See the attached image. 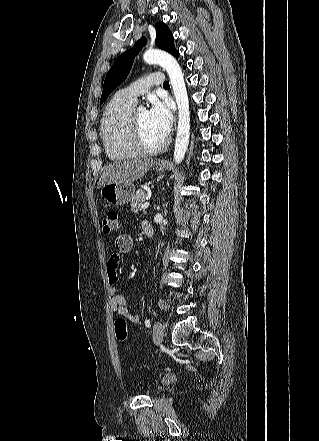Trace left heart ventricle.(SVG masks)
<instances>
[{"instance_id":"left-heart-ventricle-1","label":"left heart ventricle","mask_w":319,"mask_h":441,"mask_svg":"<svg viewBox=\"0 0 319 441\" xmlns=\"http://www.w3.org/2000/svg\"><path fill=\"white\" fill-rule=\"evenodd\" d=\"M137 118L139 121L142 137L148 146H156L160 144L164 138L161 137L153 128L148 113L146 111H138Z\"/></svg>"}]
</instances>
